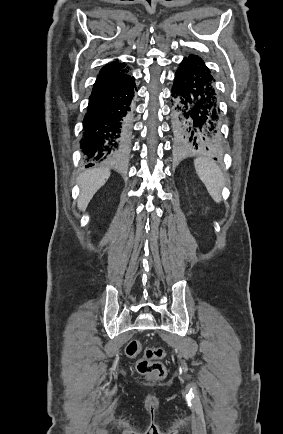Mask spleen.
Here are the masks:
<instances>
[{"label":"spleen","mask_w":283,"mask_h":434,"mask_svg":"<svg viewBox=\"0 0 283 434\" xmlns=\"http://www.w3.org/2000/svg\"><path fill=\"white\" fill-rule=\"evenodd\" d=\"M195 170L205 184L210 196L217 203L221 201V187L224 184L223 174L216 163L208 158L194 160Z\"/></svg>","instance_id":"3e777b00"}]
</instances>
